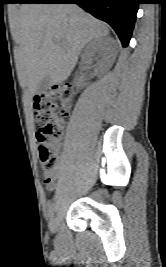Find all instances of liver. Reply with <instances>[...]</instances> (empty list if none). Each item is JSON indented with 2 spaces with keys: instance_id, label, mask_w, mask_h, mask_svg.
<instances>
[{
  "instance_id": "1",
  "label": "liver",
  "mask_w": 166,
  "mask_h": 267,
  "mask_svg": "<svg viewBox=\"0 0 166 267\" xmlns=\"http://www.w3.org/2000/svg\"><path fill=\"white\" fill-rule=\"evenodd\" d=\"M12 34L19 44V80L34 95L45 76H50V85L65 81L83 47L109 29L76 4L32 3L20 7Z\"/></svg>"
}]
</instances>
